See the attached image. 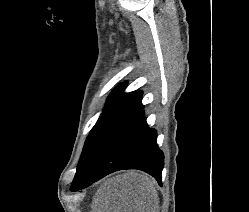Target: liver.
Wrapping results in <instances>:
<instances>
[{
    "label": "liver",
    "mask_w": 249,
    "mask_h": 212,
    "mask_svg": "<svg viewBox=\"0 0 249 212\" xmlns=\"http://www.w3.org/2000/svg\"><path fill=\"white\" fill-rule=\"evenodd\" d=\"M93 212H158L154 182L139 170H127L102 184L93 198Z\"/></svg>",
    "instance_id": "obj_1"
}]
</instances>
